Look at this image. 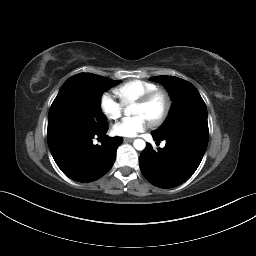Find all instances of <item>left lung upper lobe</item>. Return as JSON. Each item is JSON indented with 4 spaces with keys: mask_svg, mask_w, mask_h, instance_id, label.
<instances>
[{
    "mask_svg": "<svg viewBox=\"0 0 256 256\" xmlns=\"http://www.w3.org/2000/svg\"><path fill=\"white\" fill-rule=\"evenodd\" d=\"M150 79L162 83L173 99L168 118L152 134L159 139L180 137L207 146V109L198 90L190 82L175 76Z\"/></svg>",
    "mask_w": 256,
    "mask_h": 256,
    "instance_id": "left-lung-upper-lobe-1",
    "label": "left lung upper lobe"
}]
</instances>
